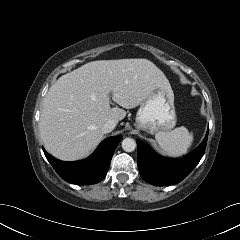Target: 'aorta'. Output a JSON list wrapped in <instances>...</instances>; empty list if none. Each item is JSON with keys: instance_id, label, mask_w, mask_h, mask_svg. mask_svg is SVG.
Listing matches in <instances>:
<instances>
[{"instance_id": "762f6f07", "label": "aorta", "mask_w": 240, "mask_h": 240, "mask_svg": "<svg viewBox=\"0 0 240 240\" xmlns=\"http://www.w3.org/2000/svg\"><path fill=\"white\" fill-rule=\"evenodd\" d=\"M122 148L126 152H132L136 148V141L132 138H125L122 141Z\"/></svg>"}]
</instances>
